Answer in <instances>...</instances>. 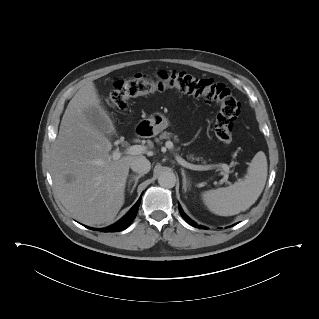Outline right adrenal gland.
<instances>
[{
    "instance_id": "obj_1",
    "label": "right adrenal gland",
    "mask_w": 319,
    "mask_h": 319,
    "mask_svg": "<svg viewBox=\"0 0 319 319\" xmlns=\"http://www.w3.org/2000/svg\"><path fill=\"white\" fill-rule=\"evenodd\" d=\"M142 176H144V175H143V174L132 175L131 179H130L129 182H128V185H129V187H130L131 183L134 181V185H133V187H132L130 193H133L134 189H135L136 186H137L138 180H139Z\"/></svg>"
}]
</instances>
